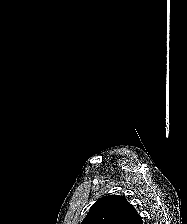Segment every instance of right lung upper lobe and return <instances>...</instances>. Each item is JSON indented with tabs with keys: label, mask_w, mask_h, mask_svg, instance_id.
I'll return each instance as SVG.
<instances>
[{
	"label": "right lung upper lobe",
	"mask_w": 187,
	"mask_h": 224,
	"mask_svg": "<svg viewBox=\"0 0 187 224\" xmlns=\"http://www.w3.org/2000/svg\"><path fill=\"white\" fill-rule=\"evenodd\" d=\"M81 224H143L124 196L108 195L97 200Z\"/></svg>",
	"instance_id": "obj_1"
}]
</instances>
